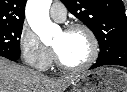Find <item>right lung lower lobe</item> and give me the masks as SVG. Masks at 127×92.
Masks as SVG:
<instances>
[{
  "label": "right lung lower lobe",
  "instance_id": "98d812e1",
  "mask_svg": "<svg viewBox=\"0 0 127 92\" xmlns=\"http://www.w3.org/2000/svg\"><path fill=\"white\" fill-rule=\"evenodd\" d=\"M0 56H3L9 60H17L20 55L12 54V53H6L4 51H0Z\"/></svg>",
  "mask_w": 127,
  "mask_h": 92
}]
</instances>
